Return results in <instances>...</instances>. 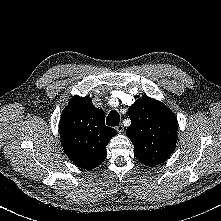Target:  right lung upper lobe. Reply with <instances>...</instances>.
<instances>
[{"label": "right lung upper lobe", "instance_id": "1", "mask_svg": "<svg viewBox=\"0 0 221 221\" xmlns=\"http://www.w3.org/2000/svg\"><path fill=\"white\" fill-rule=\"evenodd\" d=\"M59 131L66 155L77 166L92 169L107 155L106 145L116 130L105 125L103 110L90 97L74 96L62 112Z\"/></svg>", "mask_w": 221, "mask_h": 221}]
</instances>
